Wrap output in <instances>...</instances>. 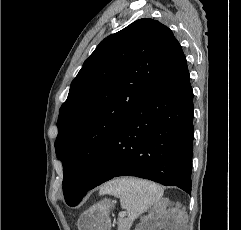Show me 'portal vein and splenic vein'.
Instances as JSON below:
<instances>
[{
  "mask_svg": "<svg viewBox=\"0 0 241 230\" xmlns=\"http://www.w3.org/2000/svg\"><path fill=\"white\" fill-rule=\"evenodd\" d=\"M119 217H120V219H123L124 217H125V213L123 212V213H120L119 214Z\"/></svg>",
  "mask_w": 241,
  "mask_h": 230,
  "instance_id": "18ae733b",
  "label": "portal vein and splenic vein"
}]
</instances>
